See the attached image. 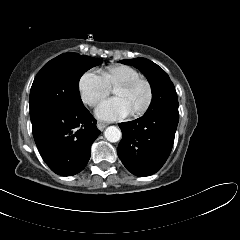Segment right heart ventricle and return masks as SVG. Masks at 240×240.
Listing matches in <instances>:
<instances>
[{
	"instance_id": "obj_1",
	"label": "right heart ventricle",
	"mask_w": 240,
	"mask_h": 240,
	"mask_svg": "<svg viewBox=\"0 0 240 240\" xmlns=\"http://www.w3.org/2000/svg\"><path fill=\"white\" fill-rule=\"evenodd\" d=\"M140 76V73L135 68L124 64L108 66L101 72V77L111 88H115L121 83L137 79Z\"/></svg>"
}]
</instances>
